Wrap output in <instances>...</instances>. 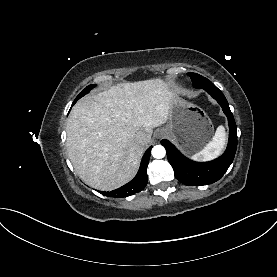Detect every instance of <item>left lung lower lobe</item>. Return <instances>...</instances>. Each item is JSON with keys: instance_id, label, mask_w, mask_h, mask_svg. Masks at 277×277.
Instances as JSON below:
<instances>
[{"instance_id": "left-lung-lower-lobe-1", "label": "left lung lower lobe", "mask_w": 277, "mask_h": 277, "mask_svg": "<svg viewBox=\"0 0 277 277\" xmlns=\"http://www.w3.org/2000/svg\"><path fill=\"white\" fill-rule=\"evenodd\" d=\"M203 89L217 100L228 118L229 142L226 151L219 158L210 162H195L183 156L168 140L161 141L176 178L188 186H202L218 181L232 163L237 148L236 124L225 96L213 83Z\"/></svg>"}]
</instances>
